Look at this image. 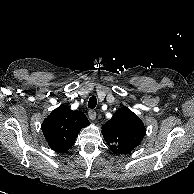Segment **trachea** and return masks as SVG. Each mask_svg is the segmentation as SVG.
<instances>
[{"label":"trachea","mask_w":194,"mask_h":194,"mask_svg":"<svg viewBox=\"0 0 194 194\" xmlns=\"http://www.w3.org/2000/svg\"><path fill=\"white\" fill-rule=\"evenodd\" d=\"M97 99L95 96H92L88 101V108L93 109L96 107Z\"/></svg>","instance_id":"3493384b"}]
</instances>
